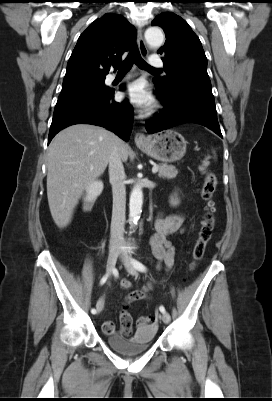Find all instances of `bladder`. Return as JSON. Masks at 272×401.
I'll use <instances>...</instances> for the list:
<instances>
[{
    "label": "bladder",
    "mask_w": 272,
    "mask_h": 401,
    "mask_svg": "<svg viewBox=\"0 0 272 401\" xmlns=\"http://www.w3.org/2000/svg\"><path fill=\"white\" fill-rule=\"evenodd\" d=\"M155 333L154 327H144L131 338H126L118 333L107 334V342L111 348L123 355H139L150 348Z\"/></svg>",
    "instance_id": "bladder-1"
}]
</instances>
